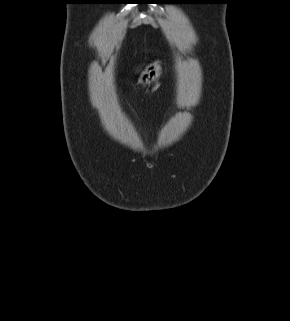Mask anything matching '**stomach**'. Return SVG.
Here are the masks:
<instances>
[{
    "label": "stomach",
    "mask_w": 290,
    "mask_h": 321,
    "mask_svg": "<svg viewBox=\"0 0 290 321\" xmlns=\"http://www.w3.org/2000/svg\"><path fill=\"white\" fill-rule=\"evenodd\" d=\"M162 68L159 61L149 64L140 74L138 83L142 85L150 84L155 81L161 74Z\"/></svg>",
    "instance_id": "0dacf381"
}]
</instances>
